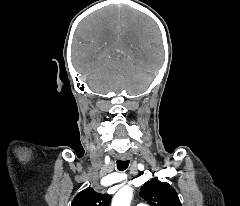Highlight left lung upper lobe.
Returning <instances> with one entry per match:
<instances>
[{
	"label": "left lung upper lobe",
	"mask_w": 240,
	"mask_h": 206,
	"mask_svg": "<svg viewBox=\"0 0 240 206\" xmlns=\"http://www.w3.org/2000/svg\"><path fill=\"white\" fill-rule=\"evenodd\" d=\"M140 194L151 206H181L173 187L158 179L146 182L141 187Z\"/></svg>",
	"instance_id": "5c2ea615"
}]
</instances>
